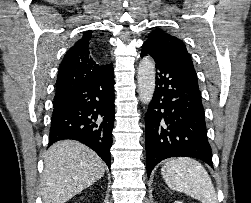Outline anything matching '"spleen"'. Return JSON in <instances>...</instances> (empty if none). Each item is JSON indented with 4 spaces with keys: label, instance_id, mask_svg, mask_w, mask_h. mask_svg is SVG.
I'll list each match as a JSON object with an SVG mask.
<instances>
[{
    "label": "spleen",
    "instance_id": "3e777b00",
    "mask_svg": "<svg viewBox=\"0 0 251 203\" xmlns=\"http://www.w3.org/2000/svg\"><path fill=\"white\" fill-rule=\"evenodd\" d=\"M166 184L172 190L183 192L202 203H218L212 181L198 161L187 158H173L161 168Z\"/></svg>",
    "mask_w": 251,
    "mask_h": 203
}]
</instances>
